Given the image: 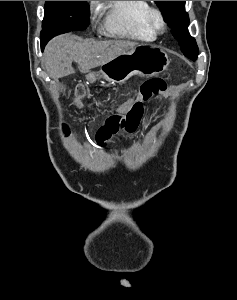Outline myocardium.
Here are the masks:
<instances>
[{"instance_id": "f54148a6", "label": "myocardium", "mask_w": 237, "mask_h": 300, "mask_svg": "<svg viewBox=\"0 0 237 300\" xmlns=\"http://www.w3.org/2000/svg\"><path fill=\"white\" fill-rule=\"evenodd\" d=\"M146 22L154 34H163L167 29L162 10L156 6L148 7L146 11Z\"/></svg>"}]
</instances>
